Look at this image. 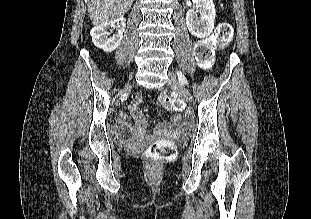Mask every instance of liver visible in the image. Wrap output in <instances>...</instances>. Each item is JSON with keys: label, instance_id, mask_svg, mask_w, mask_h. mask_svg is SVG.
Returning <instances> with one entry per match:
<instances>
[{"label": "liver", "instance_id": "6515ba94", "mask_svg": "<svg viewBox=\"0 0 311 219\" xmlns=\"http://www.w3.org/2000/svg\"><path fill=\"white\" fill-rule=\"evenodd\" d=\"M134 0H88V13L93 25L122 17L131 8Z\"/></svg>", "mask_w": 311, "mask_h": 219}]
</instances>
